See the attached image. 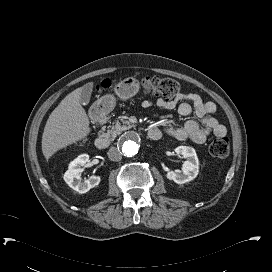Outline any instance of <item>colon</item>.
I'll list each match as a JSON object with an SVG mask.
<instances>
[{"instance_id":"5ec220e1","label":"colon","mask_w":272,"mask_h":272,"mask_svg":"<svg viewBox=\"0 0 272 272\" xmlns=\"http://www.w3.org/2000/svg\"><path fill=\"white\" fill-rule=\"evenodd\" d=\"M111 85V80L105 79L101 82L100 89L103 91L108 90ZM141 86L146 93L161 97L166 101H171L178 96L180 91V85L176 80L160 76H145L141 80ZM209 151L212 156L218 158L226 157L230 151L229 139L225 136L213 139L210 143Z\"/></svg>"}]
</instances>
